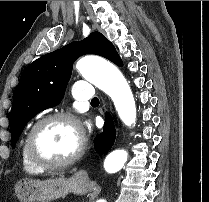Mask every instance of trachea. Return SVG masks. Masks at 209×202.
<instances>
[{"label":"trachea","mask_w":209,"mask_h":202,"mask_svg":"<svg viewBox=\"0 0 209 202\" xmlns=\"http://www.w3.org/2000/svg\"><path fill=\"white\" fill-rule=\"evenodd\" d=\"M96 103H99V99L97 97L91 100V104H96Z\"/></svg>","instance_id":"trachea-1"}]
</instances>
